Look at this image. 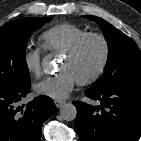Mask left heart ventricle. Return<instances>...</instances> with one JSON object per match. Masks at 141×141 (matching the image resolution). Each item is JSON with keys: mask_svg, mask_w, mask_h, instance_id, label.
<instances>
[{"mask_svg": "<svg viewBox=\"0 0 141 141\" xmlns=\"http://www.w3.org/2000/svg\"><path fill=\"white\" fill-rule=\"evenodd\" d=\"M103 54L100 41L91 39L86 42L79 55L70 59L64 56L60 71L70 72L76 80L89 76L98 66Z\"/></svg>", "mask_w": 141, "mask_h": 141, "instance_id": "b2bd125f", "label": "left heart ventricle"}]
</instances>
